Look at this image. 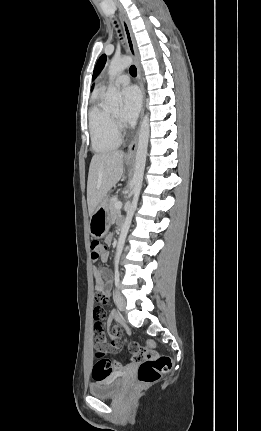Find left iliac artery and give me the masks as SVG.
I'll use <instances>...</instances> for the list:
<instances>
[{
  "label": "left iliac artery",
  "instance_id": "44dca946",
  "mask_svg": "<svg viewBox=\"0 0 261 431\" xmlns=\"http://www.w3.org/2000/svg\"><path fill=\"white\" fill-rule=\"evenodd\" d=\"M120 283V278H119V271L118 269L115 270V286L118 287Z\"/></svg>",
  "mask_w": 261,
  "mask_h": 431
}]
</instances>
